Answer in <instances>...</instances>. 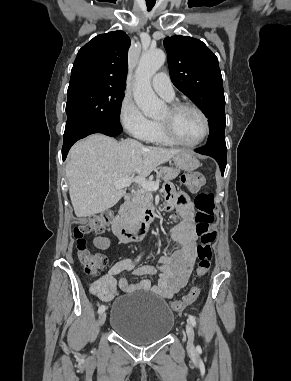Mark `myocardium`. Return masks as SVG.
<instances>
[{
  "instance_id": "myocardium-1",
  "label": "myocardium",
  "mask_w": 291,
  "mask_h": 381,
  "mask_svg": "<svg viewBox=\"0 0 291 381\" xmlns=\"http://www.w3.org/2000/svg\"><path fill=\"white\" fill-rule=\"evenodd\" d=\"M184 109L194 110L195 112H197L200 115V117L203 120V124H204L203 133L200 136V138L198 140H196L195 142L188 143V142H184V141L180 140L176 136L170 121L158 120L157 123H158V126L160 128L161 133L172 144L183 146V147H196L199 144H201L207 138V136L209 134V131H210L209 119H208L207 115L205 114V112L200 107H198L197 105H195L193 103L178 102V103H174L168 107V111H169V114L171 117H174L176 114H178L180 111H182Z\"/></svg>"
}]
</instances>
